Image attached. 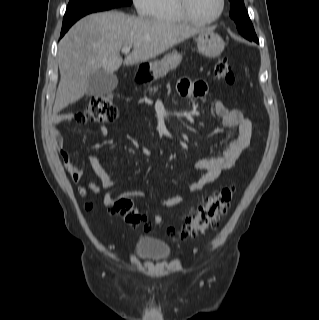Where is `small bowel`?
I'll list each match as a JSON object with an SVG mask.
<instances>
[{"mask_svg": "<svg viewBox=\"0 0 319 320\" xmlns=\"http://www.w3.org/2000/svg\"><path fill=\"white\" fill-rule=\"evenodd\" d=\"M178 92L185 98H199L205 99L210 95L207 84L202 80H189L187 78H181L178 82ZM214 112L220 119L223 126L228 128H235L237 133L233 136L225 150L215 156L198 159L195 162V169L198 172H204L203 175L198 176L189 186V192L195 193L204 189L207 185L214 182L224 171L231 169L240 154L248 148L252 135V123L244 117L241 111L236 109H228L221 100H217L214 104ZM69 115H56L52 120V132L55 138L60 157L67 173L74 183H80L83 178V171L78 166L74 165L71 160L70 152L65 148L63 136L59 129V124L62 121L70 120ZM100 133L102 135L108 134V129L105 126L100 127ZM108 154L105 155V158ZM89 163L92 170L100 178L102 185L97 186L93 182L82 184L81 192L86 194L93 192L100 194L102 189L108 190L114 186V180L109 174L108 170L102 164L101 158L98 154H92L89 157ZM130 195L138 198H144L147 196V192L131 191ZM185 197L183 195H174L165 201L158 204L160 208H168L183 203ZM116 197L111 194H104L103 204L110 208L115 203Z\"/></svg>", "mask_w": 319, "mask_h": 320, "instance_id": "1", "label": "small bowel"}]
</instances>
